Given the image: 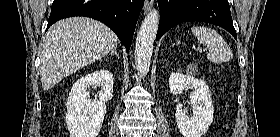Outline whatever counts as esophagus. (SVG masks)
<instances>
[{"mask_svg": "<svg viewBox=\"0 0 280 137\" xmlns=\"http://www.w3.org/2000/svg\"><path fill=\"white\" fill-rule=\"evenodd\" d=\"M154 5V0H145L144 7H143V14L145 15Z\"/></svg>", "mask_w": 280, "mask_h": 137, "instance_id": "34e87169", "label": "esophagus"}]
</instances>
